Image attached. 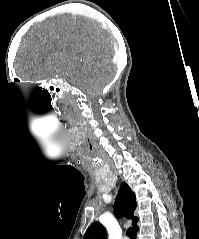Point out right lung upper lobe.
I'll use <instances>...</instances> for the list:
<instances>
[{"label": "right lung upper lobe", "mask_w": 199, "mask_h": 239, "mask_svg": "<svg viewBox=\"0 0 199 239\" xmlns=\"http://www.w3.org/2000/svg\"><path fill=\"white\" fill-rule=\"evenodd\" d=\"M136 209V197L130 187L123 182L120 186L114 204L115 213L119 216H127L132 219L134 229L137 227L138 218L134 216ZM83 239H106L105 230L99 222H94L87 229Z\"/></svg>", "instance_id": "cb5924a9"}]
</instances>
